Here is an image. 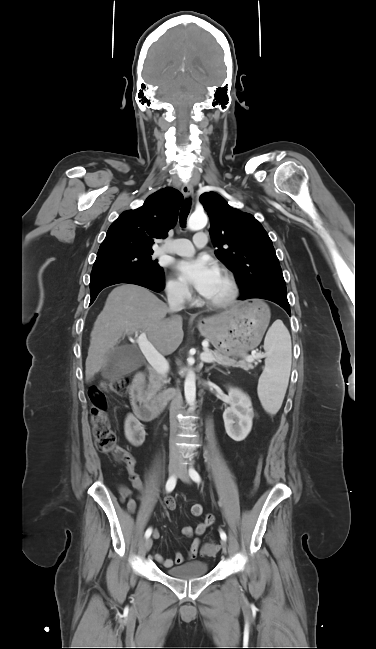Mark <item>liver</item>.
<instances>
[{"label": "liver", "instance_id": "6515ba94", "mask_svg": "<svg viewBox=\"0 0 376 649\" xmlns=\"http://www.w3.org/2000/svg\"><path fill=\"white\" fill-rule=\"evenodd\" d=\"M148 289L120 285L108 295L90 334L85 376L88 382L107 362V354L122 336L143 333L162 355L172 354L183 340L182 318ZM227 313V312H226Z\"/></svg>", "mask_w": 376, "mask_h": 649}]
</instances>
